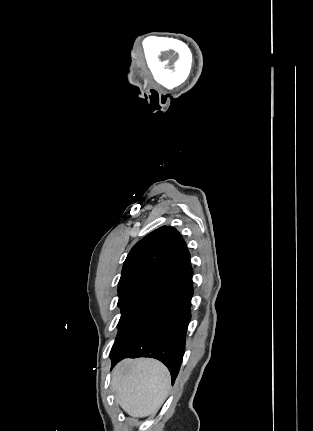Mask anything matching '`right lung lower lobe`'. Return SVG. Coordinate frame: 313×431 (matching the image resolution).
I'll list each match as a JSON object with an SVG mask.
<instances>
[{
  "label": "right lung lower lobe",
  "mask_w": 313,
  "mask_h": 431,
  "mask_svg": "<svg viewBox=\"0 0 313 431\" xmlns=\"http://www.w3.org/2000/svg\"><path fill=\"white\" fill-rule=\"evenodd\" d=\"M192 275L188 260L146 298L117 335L110 353L111 368L127 357H151L167 366L174 383L191 319Z\"/></svg>",
  "instance_id": "98d812e1"
}]
</instances>
